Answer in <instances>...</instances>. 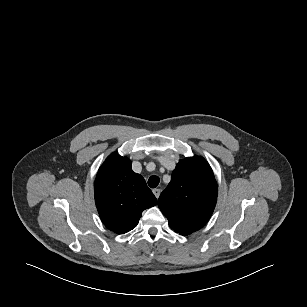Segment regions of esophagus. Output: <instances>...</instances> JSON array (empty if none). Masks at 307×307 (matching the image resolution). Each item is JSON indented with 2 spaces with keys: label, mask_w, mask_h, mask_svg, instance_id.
<instances>
[{
  "label": "esophagus",
  "mask_w": 307,
  "mask_h": 307,
  "mask_svg": "<svg viewBox=\"0 0 307 307\" xmlns=\"http://www.w3.org/2000/svg\"><path fill=\"white\" fill-rule=\"evenodd\" d=\"M153 194L155 195V197L158 199L161 193L160 189H153L152 190Z\"/></svg>",
  "instance_id": "1"
}]
</instances>
